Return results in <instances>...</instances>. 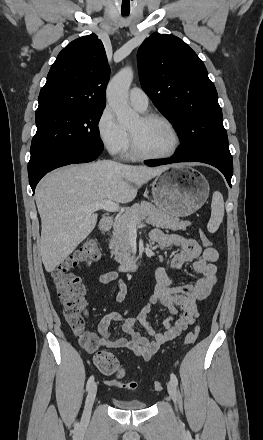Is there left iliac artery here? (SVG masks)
<instances>
[{"instance_id": "1", "label": "left iliac artery", "mask_w": 263, "mask_h": 440, "mask_svg": "<svg viewBox=\"0 0 263 440\" xmlns=\"http://www.w3.org/2000/svg\"><path fill=\"white\" fill-rule=\"evenodd\" d=\"M171 381L177 386L178 385V379L174 373H171Z\"/></svg>"}]
</instances>
